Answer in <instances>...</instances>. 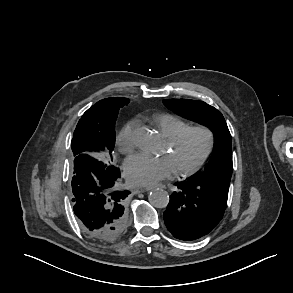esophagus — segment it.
Returning <instances> with one entry per match:
<instances>
[{"mask_svg":"<svg viewBox=\"0 0 293 293\" xmlns=\"http://www.w3.org/2000/svg\"><path fill=\"white\" fill-rule=\"evenodd\" d=\"M161 188H165V186H160ZM155 187H144V188H138L136 190L137 193H141V192H145V191H150L152 189H154Z\"/></svg>","mask_w":293,"mask_h":293,"instance_id":"1","label":"esophagus"}]
</instances>
